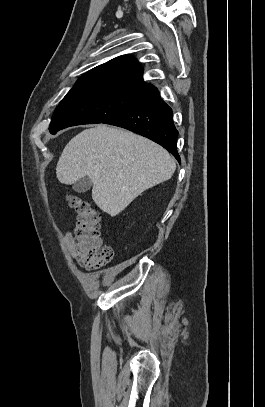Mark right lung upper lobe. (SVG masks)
<instances>
[{"label":"right lung upper lobe","mask_w":265,"mask_h":407,"mask_svg":"<svg viewBox=\"0 0 265 407\" xmlns=\"http://www.w3.org/2000/svg\"><path fill=\"white\" fill-rule=\"evenodd\" d=\"M83 76H104L153 87V85L144 82L142 66L134 57L129 55L116 57L91 69Z\"/></svg>","instance_id":"obj_1"}]
</instances>
